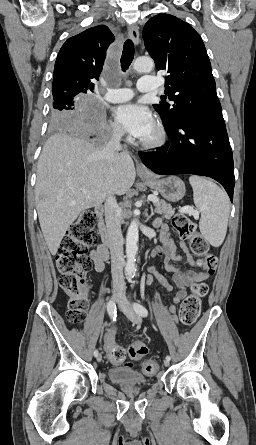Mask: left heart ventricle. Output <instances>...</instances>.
<instances>
[{"instance_id":"obj_1","label":"left heart ventricle","mask_w":256,"mask_h":445,"mask_svg":"<svg viewBox=\"0 0 256 445\" xmlns=\"http://www.w3.org/2000/svg\"><path fill=\"white\" fill-rule=\"evenodd\" d=\"M153 136V132L146 138V139H149V138H151Z\"/></svg>"}]
</instances>
